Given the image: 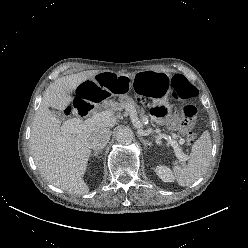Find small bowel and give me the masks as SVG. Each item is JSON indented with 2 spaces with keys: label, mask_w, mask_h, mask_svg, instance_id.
Listing matches in <instances>:
<instances>
[{
  "label": "small bowel",
  "mask_w": 248,
  "mask_h": 248,
  "mask_svg": "<svg viewBox=\"0 0 248 248\" xmlns=\"http://www.w3.org/2000/svg\"><path fill=\"white\" fill-rule=\"evenodd\" d=\"M173 126H174L175 128L180 129V130L183 131V132H186V131L192 126V124H191V123H180V122H175V123L173 124Z\"/></svg>",
  "instance_id": "c3829d8e"
}]
</instances>
